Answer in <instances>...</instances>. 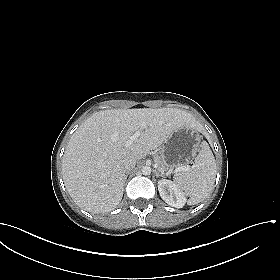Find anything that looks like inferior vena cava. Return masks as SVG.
<instances>
[{"label":"inferior vena cava","instance_id":"obj_1","mask_svg":"<svg viewBox=\"0 0 280 280\" xmlns=\"http://www.w3.org/2000/svg\"><path fill=\"white\" fill-rule=\"evenodd\" d=\"M136 165V159L132 156H128L123 160V166L126 172H129Z\"/></svg>","mask_w":280,"mask_h":280}]
</instances>
